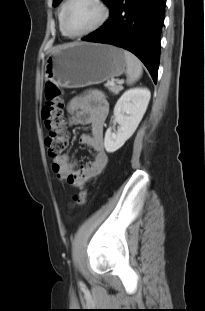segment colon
<instances>
[{"mask_svg":"<svg viewBox=\"0 0 205 311\" xmlns=\"http://www.w3.org/2000/svg\"><path fill=\"white\" fill-rule=\"evenodd\" d=\"M42 119L48 131L45 140L48 155L52 158L60 156L68 145V134L64 130L63 99L61 91L53 83L45 86V102L42 107ZM87 190L81 189L72 196L76 206L84 205L87 200Z\"/></svg>","mask_w":205,"mask_h":311,"instance_id":"obj_1","label":"colon"}]
</instances>
